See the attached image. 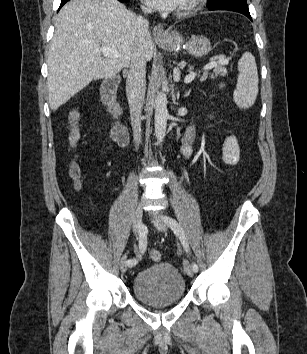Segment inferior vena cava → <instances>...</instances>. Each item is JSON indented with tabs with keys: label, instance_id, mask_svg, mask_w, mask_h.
<instances>
[{
	"label": "inferior vena cava",
	"instance_id": "inferior-vena-cava-1",
	"mask_svg": "<svg viewBox=\"0 0 307 354\" xmlns=\"http://www.w3.org/2000/svg\"><path fill=\"white\" fill-rule=\"evenodd\" d=\"M145 14L152 13L150 7H142ZM138 45L132 57L129 73L126 80V94L130 106L131 124L134 141L138 145L141 141V112L146 90V60L143 52L146 37L149 34V23L138 17L137 21Z\"/></svg>",
	"mask_w": 307,
	"mask_h": 354
}]
</instances>
